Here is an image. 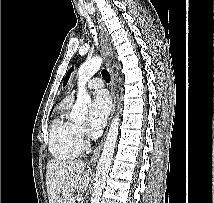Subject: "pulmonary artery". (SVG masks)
<instances>
[{
    "instance_id": "obj_1",
    "label": "pulmonary artery",
    "mask_w": 214,
    "mask_h": 203,
    "mask_svg": "<svg viewBox=\"0 0 214 203\" xmlns=\"http://www.w3.org/2000/svg\"><path fill=\"white\" fill-rule=\"evenodd\" d=\"M103 87V82L100 78H92L88 81L87 83V88L90 89V90H94V89H100ZM69 97H73V94L70 95Z\"/></svg>"
}]
</instances>
